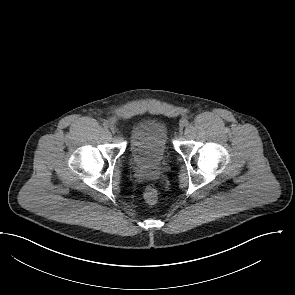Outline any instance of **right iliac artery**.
Instances as JSON below:
<instances>
[{
  "mask_svg": "<svg viewBox=\"0 0 295 295\" xmlns=\"http://www.w3.org/2000/svg\"><path fill=\"white\" fill-rule=\"evenodd\" d=\"M103 126H104L105 128H108V127H110V123H109L108 121H105V122L103 123Z\"/></svg>",
  "mask_w": 295,
  "mask_h": 295,
  "instance_id": "obj_1",
  "label": "right iliac artery"
}]
</instances>
